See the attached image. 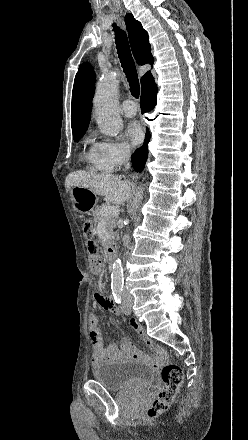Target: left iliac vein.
<instances>
[{"label": "left iliac vein", "mask_w": 248, "mask_h": 440, "mask_svg": "<svg viewBox=\"0 0 248 440\" xmlns=\"http://www.w3.org/2000/svg\"><path fill=\"white\" fill-rule=\"evenodd\" d=\"M132 300L130 298L125 299L121 306L122 313L128 315L131 313Z\"/></svg>", "instance_id": "1"}]
</instances>
